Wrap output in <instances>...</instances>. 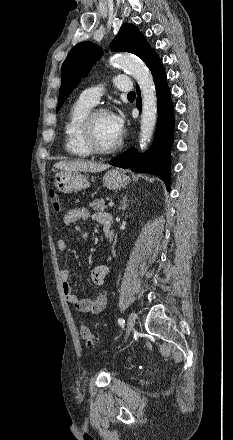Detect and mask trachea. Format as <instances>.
<instances>
[{"instance_id": "trachea-1", "label": "trachea", "mask_w": 233, "mask_h": 440, "mask_svg": "<svg viewBox=\"0 0 233 440\" xmlns=\"http://www.w3.org/2000/svg\"><path fill=\"white\" fill-rule=\"evenodd\" d=\"M135 96V92H129L128 93V97H134Z\"/></svg>"}]
</instances>
